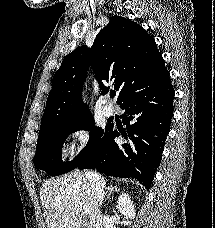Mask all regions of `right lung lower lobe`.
Here are the masks:
<instances>
[{
	"label": "right lung lower lobe",
	"instance_id": "obj_1",
	"mask_svg": "<svg viewBox=\"0 0 215 228\" xmlns=\"http://www.w3.org/2000/svg\"><path fill=\"white\" fill-rule=\"evenodd\" d=\"M174 90L168 76L157 81L138 82L120 104L125 110L121 132L127 143L118 144L120 133L113 129L105 140L76 168L97 169L107 175L135 178L147 189L159 167L173 114Z\"/></svg>",
	"mask_w": 215,
	"mask_h": 228
}]
</instances>
